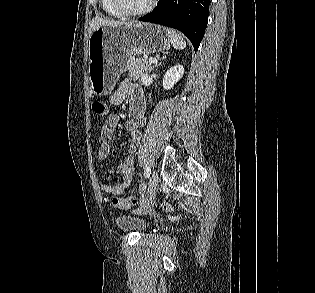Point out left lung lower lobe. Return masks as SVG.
Wrapping results in <instances>:
<instances>
[{
    "label": "left lung lower lobe",
    "instance_id": "0a47b994",
    "mask_svg": "<svg viewBox=\"0 0 315 293\" xmlns=\"http://www.w3.org/2000/svg\"><path fill=\"white\" fill-rule=\"evenodd\" d=\"M210 0H159L140 21L161 24L183 32L197 51L207 26Z\"/></svg>",
    "mask_w": 315,
    "mask_h": 293
}]
</instances>
